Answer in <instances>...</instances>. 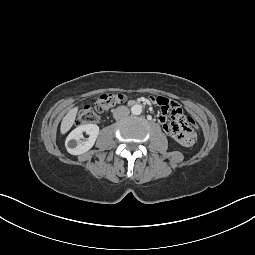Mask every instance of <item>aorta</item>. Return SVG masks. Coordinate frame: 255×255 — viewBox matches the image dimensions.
I'll use <instances>...</instances> for the list:
<instances>
[{
    "mask_svg": "<svg viewBox=\"0 0 255 255\" xmlns=\"http://www.w3.org/2000/svg\"><path fill=\"white\" fill-rule=\"evenodd\" d=\"M131 113L134 115H140L142 113V107L138 104H135L131 107Z\"/></svg>",
    "mask_w": 255,
    "mask_h": 255,
    "instance_id": "aorta-1",
    "label": "aorta"
}]
</instances>
